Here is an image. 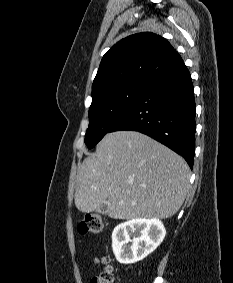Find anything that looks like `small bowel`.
Here are the masks:
<instances>
[{"instance_id":"small-bowel-1","label":"small bowel","mask_w":233,"mask_h":283,"mask_svg":"<svg viewBox=\"0 0 233 283\" xmlns=\"http://www.w3.org/2000/svg\"><path fill=\"white\" fill-rule=\"evenodd\" d=\"M98 262V260L97 259H95V263H97Z\"/></svg>"}]
</instances>
